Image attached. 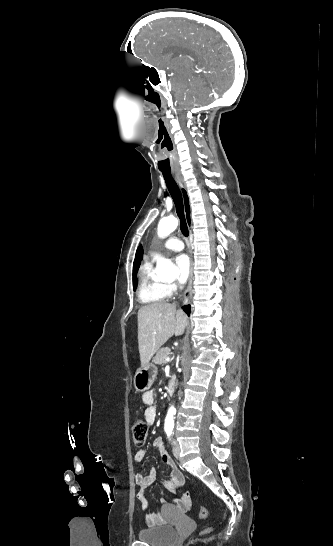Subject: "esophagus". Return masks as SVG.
Returning a JSON list of instances; mask_svg holds the SVG:
<instances>
[{
	"label": "esophagus",
	"instance_id": "obj_1",
	"mask_svg": "<svg viewBox=\"0 0 333 546\" xmlns=\"http://www.w3.org/2000/svg\"><path fill=\"white\" fill-rule=\"evenodd\" d=\"M174 179L181 191V194H182V197H183V203H184V210H185V215H186V219H187V223L188 225L190 226L191 224V207H190V198H189V194H188V191H187V188L185 186V183L183 181V178L180 174H174ZM192 282H193V260L191 259V271H190V277H189V282H188V286H187V289H186V292H185V295H184V304H187L189 302V299L192 295Z\"/></svg>",
	"mask_w": 333,
	"mask_h": 546
}]
</instances>
